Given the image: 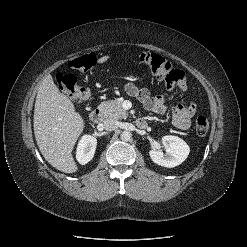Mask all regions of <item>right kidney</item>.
Wrapping results in <instances>:
<instances>
[{"instance_id": "right-kidney-1", "label": "right kidney", "mask_w": 247, "mask_h": 247, "mask_svg": "<svg viewBox=\"0 0 247 247\" xmlns=\"http://www.w3.org/2000/svg\"><path fill=\"white\" fill-rule=\"evenodd\" d=\"M97 140L91 135H84L78 143L76 158L82 165L87 164L94 156Z\"/></svg>"}]
</instances>
